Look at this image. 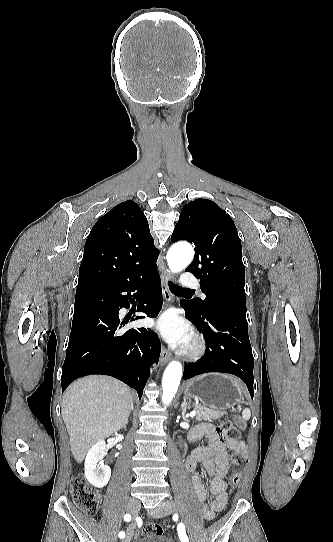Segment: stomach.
Returning a JSON list of instances; mask_svg holds the SVG:
<instances>
[{"instance_id": "obj_1", "label": "stomach", "mask_w": 333, "mask_h": 542, "mask_svg": "<svg viewBox=\"0 0 333 542\" xmlns=\"http://www.w3.org/2000/svg\"><path fill=\"white\" fill-rule=\"evenodd\" d=\"M184 394L190 398H197L206 408L224 412L241 402L243 384L234 376L202 374L185 382Z\"/></svg>"}]
</instances>
